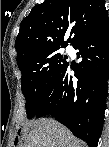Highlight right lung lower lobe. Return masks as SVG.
Returning <instances> with one entry per match:
<instances>
[{
	"label": "right lung lower lobe",
	"instance_id": "1",
	"mask_svg": "<svg viewBox=\"0 0 109 147\" xmlns=\"http://www.w3.org/2000/svg\"><path fill=\"white\" fill-rule=\"evenodd\" d=\"M82 60L69 63L49 90L35 117L52 115L89 147L102 133L109 74V19H102L74 45ZM75 71L72 80L70 70Z\"/></svg>",
	"mask_w": 109,
	"mask_h": 147
}]
</instances>
